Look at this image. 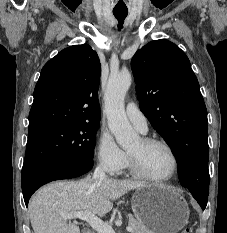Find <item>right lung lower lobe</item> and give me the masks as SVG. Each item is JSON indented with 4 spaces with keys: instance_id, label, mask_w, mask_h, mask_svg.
Segmentation results:
<instances>
[{
    "instance_id": "right-lung-lower-lobe-1",
    "label": "right lung lower lobe",
    "mask_w": 227,
    "mask_h": 233,
    "mask_svg": "<svg viewBox=\"0 0 227 233\" xmlns=\"http://www.w3.org/2000/svg\"><path fill=\"white\" fill-rule=\"evenodd\" d=\"M93 167V163L84 164L74 161H52L39 164L22 173L21 184L26 206L31 195L42 185L59 179L81 176Z\"/></svg>"
}]
</instances>
